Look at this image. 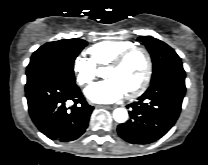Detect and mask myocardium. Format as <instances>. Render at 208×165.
Masks as SVG:
<instances>
[{"instance_id":"myocardium-1","label":"myocardium","mask_w":208,"mask_h":165,"mask_svg":"<svg viewBox=\"0 0 208 165\" xmlns=\"http://www.w3.org/2000/svg\"><path fill=\"white\" fill-rule=\"evenodd\" d=\"M136 52H141L146 59V71L140 84L129 92H126L127 97L133 98L142 94L149 86L152 73H153V61L150 52L142 46H132L114 57L107 65L108 67H120L126 59Z\"/></svg>"}]
</instances>
